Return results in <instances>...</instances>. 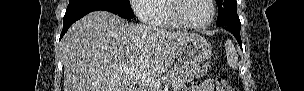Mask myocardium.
I'll list each match as a JSON object with an SVG mask.
<instances>
[{"label": "myocardium", "instance_id": "f54148a6", "mask_svg": "<svg viewBox=\"0 0 304 91\" xmlns=\"http://www.w3.org/2000/svg\"><path fill=\"white\" fill-rule=\"evenodd\" d=\"M185 0H172L171 5H170V15L171 18L182 28L186 29H193V30H198V29H204L208 26H210L216 16V7H215V2L213 0H207L208 4L211 7V16L209 20L205 23L202 24H191L187 22L183 15H182V3Z\"/></svg>", "mask_w": 304, "mask_h": 91}]
</instances>
